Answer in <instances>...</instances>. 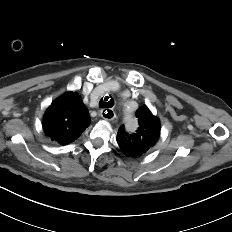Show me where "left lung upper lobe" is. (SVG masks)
I'll return each mask as SVG.
<instances>
[{
  "mask_svg": "<svg viewBox=\"0 0 232 232\" xmlns=\"http://www.w3.org/2000/svg\"><path fill=\"white\" fill-rule=\"evenodd\" d=\"M139 127L134 133L121 126L117 133L120 150L131 158L144 156L152 150L160 136V121L144 106L136 111Z\"/></svg>",
  "mask_w": 232,
  "mask_h": 232,
  "instance_id": "5c2ea615",
  "label": "left lung upper lobe"
}]
</instances>
